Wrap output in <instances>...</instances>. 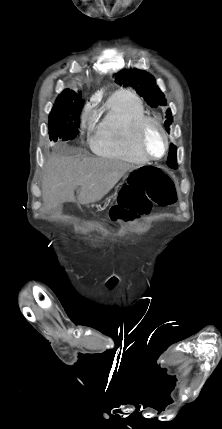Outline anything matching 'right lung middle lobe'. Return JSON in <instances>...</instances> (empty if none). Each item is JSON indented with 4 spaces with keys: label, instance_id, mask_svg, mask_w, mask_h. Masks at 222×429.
Returning <instances> with one entry per match:
<instances>
[{
    "label": "right lung middle lobe",
    "instance_id": "1",
    "mask_svg": "<svg viewBox=\"0 0 222 429\" xmlns=\"http://www.w3.org/2000/svg\"><path fill=\"white\" fill-rule=\"evenodd\" d=\"M83 104L80 92L71 90L58 96L49 115L48 129L51 141H66L77 137Z\"/></svg>",
    "mask_w": 222,
    "mask_h": 429
}]
</instances>
